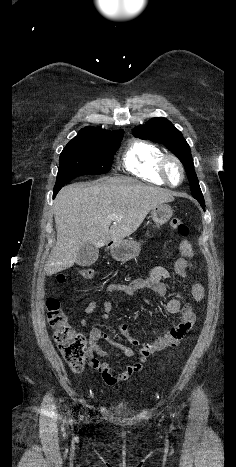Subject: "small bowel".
<instances>
[{"instance_id": "small-bowel-1", "label": "small bowel", "mask_w": 236, "mask_h": 467, "mask_svg": "<svg viewBox=\"0 0 236 467\" xmlns=\"http://www.w3.org/2000/svg\"><path fill=\"white\" fill-rule=\"evenodd\" d=\"M181 257L175 262L173 270L164 266H151L147 271L145 278H137L127 284L114 283L108 285L104 294L123 293L128 296L134 295L136 292L143 289H150L157 293L159 296H164L166 292L165 281H171L176 276L184 279L188 285L192 298L195 302H201L204 298L205 291L201 283L192 279L188 275V270L193 268L191 259L193 257L192 246L189 241H183L180 245ZM97 306L96 300L87 302L83 310L86 314H91L95 311ZM166 310L172 314H179L175 324L170 328L168 333L158 337L153 342H141L139 339L130 334L129 326L126 323L118 324V331L129 343L139 345V360L133 364L127 365L122 371L116 372L106 362H101L100 358L105 356V351L99 346L101 339L106 340L111 345L121 350L126 356H132L134 353L131 348L120 343L111 337L108 333L101 331L98 328H91L89 331V367L102 376L103 381L108 385H114L118 381H126L135 374H138L143 364L147 361L148 357L158 351L173 348L183 339L190 331L194 321L195 315L190 303L182 304L177 298H172L166 303ZM113 309L111 299L104 302V313L102 317L107 319ZM80 325L83 328L88 326V319L82 318Z\"/></svg>"}]
</instances>
